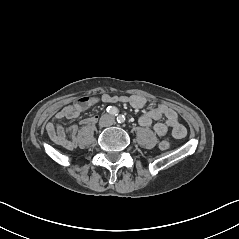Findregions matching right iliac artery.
Masks as SVG:
<instances>
[{"mask_svg": "<svg viewBox=\"0 0 239 239\" xmlns=\"http://www.w3.org/2000/svg\"><path fill=\"white\" fill-rule=\"evenodd\" d=\"M107 112H108L109 114L113 115V116H117L119 111H118V109H117L116 107H111V106H109V107L107 108Z\"/></svg>", "mask_w": 239, "mask_h": 239, "instance_id": "1", "label": "right iliac artery"}]
</instances>
